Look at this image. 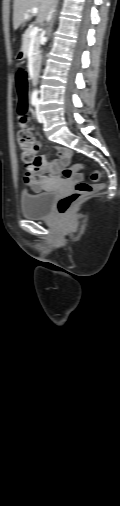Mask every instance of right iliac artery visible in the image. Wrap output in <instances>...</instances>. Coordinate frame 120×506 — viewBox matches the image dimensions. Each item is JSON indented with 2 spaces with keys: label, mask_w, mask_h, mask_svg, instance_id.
<instances>
[{
  "label": "right iliac artery",
  "mask_w": 120,
  "mask_h": 506,
  "mask_svg": "<svg viewBox=\"0 0 120 506\" xmlns=\"http://www.w3.org/2000/svg\"><path fill=\"white\" fill-rule=\"evenodd\" d=\"M37 102H38L37 94H32V96H31V103H32V105L36 106Z\"/></svg>",
  "instance_id": "obj_1"
}]
</instances>
